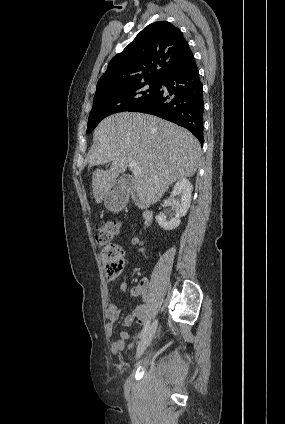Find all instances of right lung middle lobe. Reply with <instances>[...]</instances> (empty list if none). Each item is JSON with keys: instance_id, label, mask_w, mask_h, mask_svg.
I'll list each match as a JSON object with an SVG mask.
<instances>
[{"instance_id": "dd1d6c3e", "label": "right lung middle lobe", "mask_w": 285, "mask_h": 424, "mask_svg": "<svg viewBox=\"0 0 285 424\" xmlns=\"http://www.w3.org/2000/svg\"><path fill=\"white\" fill-rule=\"evenodd\" d=\"M160 87L161 81L146 80L97 90L86 133H90L105 117L117 112L130 111L145 102L153 97Z\"/></svg>"}]
</instances>
